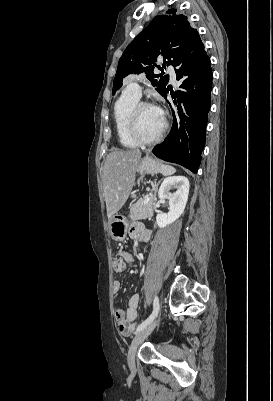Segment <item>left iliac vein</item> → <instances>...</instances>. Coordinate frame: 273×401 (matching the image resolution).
<instances>
[{
    "label": "left iliac vein",
    "instance_id": "1",
    "mask_svg": "<svg viewBox=\"0 0 273 401\" xmlns=\"http://www.w3.org/2000/svg\"><path fill=\"white\" fill-rule=\"evenodd\" d=\"M159 316H157L147 327L140 330L133 338L128 350L127 362L131 372H135V353L137 346L142 343L155 329L158 324Z\"/></svg>",
    "mask_w": 273,
    "mask_h": 401
}]
</instances>
